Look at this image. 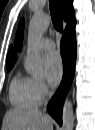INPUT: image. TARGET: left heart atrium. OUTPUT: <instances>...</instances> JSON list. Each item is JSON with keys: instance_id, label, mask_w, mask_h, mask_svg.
I'll return each instance as SVG.
<instances>
[{"instance_id": "1", "label": "left heart atrium", "mask_w": 95, "mask_h": 130, "mask_svg": "<svg viewBox=\"0 0 95 130\" xmlns=\"http://www.w3.org/2000/svg\"><path fill=\"white\" fill-rule=\"evenodd\" d=\"M43 66L49 84L56 85L59 82L63 71V64L60 55L57 52L48 53L43 58Z\"/></svg>"}]
</instances>
